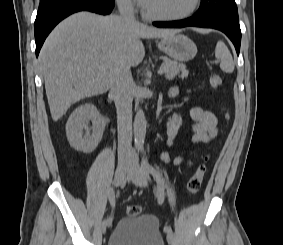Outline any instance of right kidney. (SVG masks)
I'll return each instance as SVG.
<instances>
[{
	"instance_id": "1",
	"label": "right kidney",
	"mask_w": 283,
	"mask_h": 245,
	"mask_svg": "<svg viewBox=\"0 0 283 245\" xmlns=\"http://www.w3.org/2000/svg\"><path fill=\"white\" fill-rule=\"evenodd\" d=\"M89 121L93 123L92 128L88 127ZM105 125V119L94 105L86 103L79 106L73 111L66 123L69 144L78 151L91 153L98 146Z\"/></svg>"
}]
</instances>
